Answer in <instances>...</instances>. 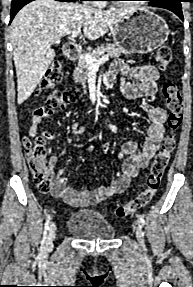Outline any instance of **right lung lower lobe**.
Here are the masks:
<instances>
[{
  "label": "right lung lower lobe",
  "mask_w": 193,
  "mask_h": 287,
  "mask_svg": "<svg viewBox=\"0 0 193 287\" xmlns=\"http://www.w3.org/2000/svg\"><path fill=\"white\" fill-rule=\"evenodd\" d=\"M33 0H12V4H11V14H10V23L13 20L14 16L16 15V13L26 4H28L29 2H31ZM58 1H62V2H73L75 0H58ZM83 1V0H81Z\"/></svg>",
  "instance_id": "98d812e1"
}]
</instances>
